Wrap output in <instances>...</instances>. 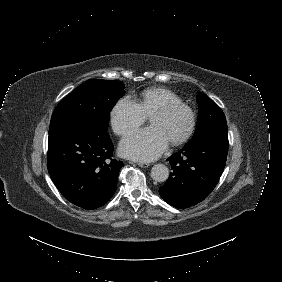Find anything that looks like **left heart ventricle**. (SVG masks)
<instances>
[{"label": "left heart ventricle", "mask_w": 282, "mask_h": 282, "mask_svg": "<svg viewBox=\"0 0 282 282\" xmlns=\"http://www.w3.org/2000/svg\"><path fill=\"white\" fill-rule=\"evenodd\" d=\"M171 101L166 100L158 108L165 106ZM152 126L158 127L166 136L168 141L177 138L185 129L186 116L181 111H175L166 116L155 115L149 120Z\"/></svg>", "instance_id": "obj_1"}]
</instances>
